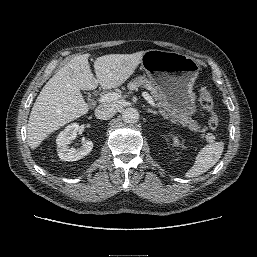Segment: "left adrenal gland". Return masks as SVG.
I'll return each mask as SVG.
<instances>
[{
    "mask_svg": "<svg viewBox=\"0 0 257 257\" xmlns=\"http://www.w3.org/2000/svg\"><path fill=\"white\" fill-rule=\"evenodd\" d=\"M147 112H148V113H152V114H154V115H155V114H158L157 111H154V110H152V109H150V108H148Z\"/></svg>",
    "mask_w": 257,
    "mask_h": 257,
    "instance_id": "1",
    "label": "left adrenal gland"
}]
</instances>
